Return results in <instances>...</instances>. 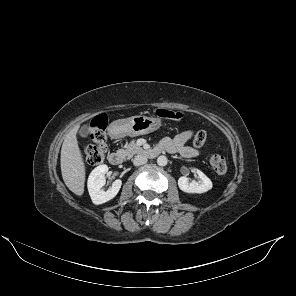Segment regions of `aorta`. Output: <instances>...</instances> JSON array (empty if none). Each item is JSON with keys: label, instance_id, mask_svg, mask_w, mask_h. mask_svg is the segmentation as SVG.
I'll return each mask as SVG.
<instances>
[{"label": "aorta", "instance_id": "762f6f07", "mask_svg": "<svg viewBox=\"0 0 296 296\" xmlns=\"http://www.w3.org/2000/svg\"><path fill=\"white\" fill-rule=\"evenodd\" d=\"M167 163H168V159L166 156L161 155L157 158V164L159 166H166Z\"/></svg>", "mask_w": 296, "mask_h": 296}]
</instances>
